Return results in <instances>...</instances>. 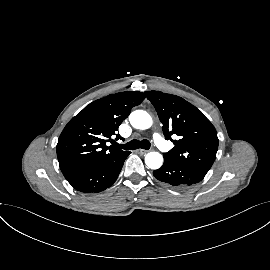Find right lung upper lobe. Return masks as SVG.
Returning <instances> with one entry per match:
<instances>
[{"label":"right lung upper lobe","mask_w":270,"mask_h":270,"mask_svg":"<svg viewBox=\"0 0 270 270\" xmlns=\"http://www.w3.org/2000/svg\"><path fill=\"white\" fill-rule=\"evenodd\" d=\"M145 94L125 91L110 94L90 103L62 131L56 151L62 173L104 163L128 151L106 145L119 125L128 117L131 108L141 104ZM116 138H121L116 134Z\"/></svg>","instance_id":"right-lung-upper-lobe-1"}]
</instances>
